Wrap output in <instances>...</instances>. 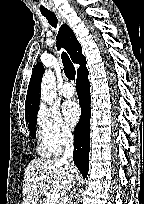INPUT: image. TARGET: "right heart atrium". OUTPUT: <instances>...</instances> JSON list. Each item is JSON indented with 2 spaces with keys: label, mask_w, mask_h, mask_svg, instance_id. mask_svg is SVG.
<instances>
[{
  "label": "right heart atrium",
  "mask_w": 144,
  "mask_h": 204,
  "mask_svg": "<svg viewBox=\"0 0 144 204\" xmlns=\"http://www.w3.org/2000/svg\"><path fill=\"white\" fill-rule=\"evenodd\" d=\"M37 127L41 145L53 153L73 139L72 129L56 109L42 106L37 113Z\"/></svg>",
  "instance_id": "right-heart-atrium-1"
}]
</instances>
